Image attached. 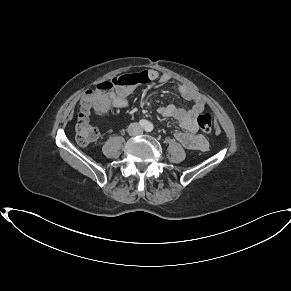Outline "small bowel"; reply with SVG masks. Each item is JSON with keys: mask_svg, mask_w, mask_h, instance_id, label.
<instances>
[{"mask_svg": "<svg viewBox=\"0 0 291 291\" xmlns=\"http://www.w3.org/2000/svg\"><path fill=\"white\" fill-rule=\"evenodd\" d=\"M141 80H158L166 83L171 79L169 74L159 75L156 70L149 69L140 73ZM180 96L193 103L190 109H184L173 104L162 106L158 112L166 118H173L178 121L184 132H176L175 138L187 149L203 152L207 149V140L198 133L197 117L205 111L206 103L203 97L186 84H179L177 87ZM134 91V86L121 87L112 92L109 97L99 100L105 104V109L100 112L104 115L110 107L126 108L129 105V97Z\"/></svg>", "mask_w": 291, "mask_h": 291, "instance_id": "obj_1", "label": "small bowel"}]
</instances>
